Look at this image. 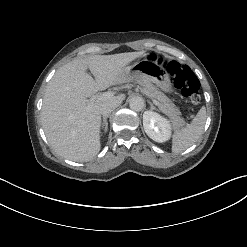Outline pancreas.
<instances>
[{
	"mask_svg": "<svg viewBox=\"0 0 247 247\" xmlns=\"http://www.w3.org/2000/svg\"><path fill=\"white\" fill-rule=\"evenodd\" d=\"M138 83L143 87L145 93L150 97L158 101L159 109L170 116L173 124L176 127L184 125V120L180 117V112L170 99L161 91H159L153 84L146 79H138Z\"/></svg>",
	"mask_w": 247,
	"mask_h": 247,
	"instance_id": "1",
	"label": "pancreas"
}]
</instances>
